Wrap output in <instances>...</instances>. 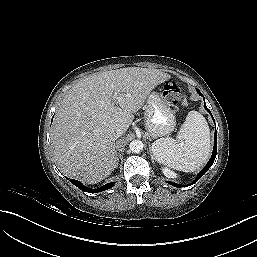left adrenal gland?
Masks as SVG:
<instances>
[{"label":"left adrenal gland","instance_id":"1","mask_svg":"<svg viewBox=\"0 0 257 257\" xmlns=\"http://www.w3.org/2000/svg\"><path fill=\"white\" fill-rule=\"evenodd\" d=\"M149 146H150V145H149ZM149 149H150V156H151V159L154 161L155 158H154V156L152 155L151 148H149Z\"/></svg>","mask_w":257,"mask_h":257}]
</instances>
